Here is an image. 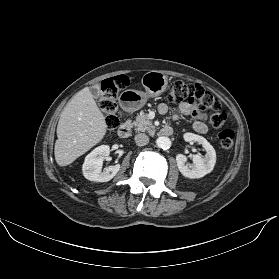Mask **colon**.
<instances>
[{"label":"colon","instance_id":"1","mask_svg":"<svg viewBox=\"0 0 279 279\" xmlns=\"http://www.w3.org/2000/svg\"><path fill=\"white\" fill-rule=\"evenodd\" d=\"M127 86L128 79L125 76L107 79L100 86L98 103L108 131L116 129L120 123L117 98ZM167 99L171 104L188 102L192 106L193 116L209 119L217 129L222 128L226 122V114L221 111L219 100L201 85L174 81L169 86ZM217 139L220 146L228 150L233 147L235 133L225 128L218 132Z\"/></svg>","mask_w":279,"mask_h":279}]
</instances>
